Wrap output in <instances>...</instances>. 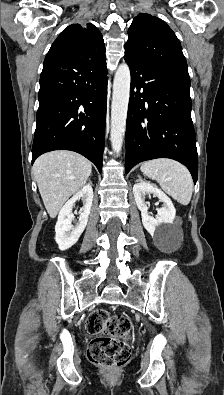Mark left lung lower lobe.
<instances>
[{
	"instance_id": "0a47b994",
	"label": "left lung lower lobe",
	"mask_w": 224,
	"mask_h": 395,
	"mask_svg": "<svg viewBox=\"0 0 224 395\" xmlns=\"http://www.w3.org/2000/svg\"><path fill=\"white\" fill-rule=\"evenodd\" d=\"M131 72L126 126L128 173L139 162L171 158L197 181L198 156L191 119L190 78L125 54Z\"/></svg>"
}]
</instances>
